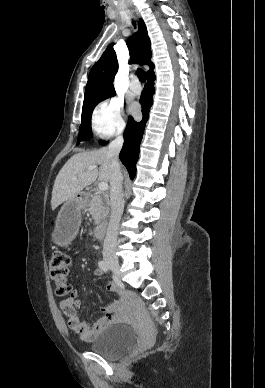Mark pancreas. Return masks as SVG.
I'll use <instances>...</instances> for the list:
<instances>
[{"label":"pancreas","mask_w":265,"mask_h":388,"mask_svg":"<svg viewBox=\"0 0 265 388\" xmlns=\"http://www.w3.org/2000/svg\"><path fill=\"white\" fill-rule=\"evenodd\" d=\"M109 198L108 196H102V192H95L91 196V202L88 204V212L92 216L95 224H100L101 220H104L109 214Z\"/></svg>","instance_id":"cf45deb5"}]
</instances>
